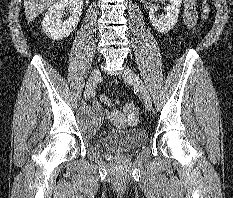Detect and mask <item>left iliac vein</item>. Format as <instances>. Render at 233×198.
Segmentation results:
<instances>
[{
	"label": "left iliac vein",
	"instance_id": "1",
	"mask_svg": "<svg viewBox=\"0 0 233 198\" xmlns=\"http://www.w3.org/2000/svg\"><path fill=\"white\" fill-rule=\"evenodd\" d=\"M124 80L132 85H134L140 92L143 99L145 108L150 110L152 108L151 97L149 91L140 77L130 68H125L122 72Z\"/></svg>",
	"mask_w": 233,
	"mask_h": 198
}]
</instances>
